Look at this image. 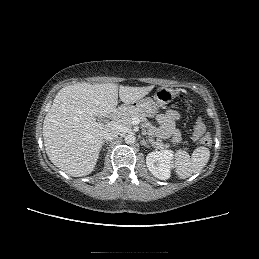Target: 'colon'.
I'll return each instance as SVG.
<instances>
[{
	"label": "colon",
	"instance_id": "colon-1",
	"mask_svg": "<svg viewBox=\"0 0 259 259\" xmlns=\"http://www.w3.org/2000/svg\"><path fill=\"white\" fill-rule=\"evenodd\" d=\"M194 134L200 139L204 147H210L212 144L211 136L206 132L205 125L201 120H197L194 126Z\"/></svg>",
	"mask_w": 259,
	"mask_h": 259
}]
</instances>
